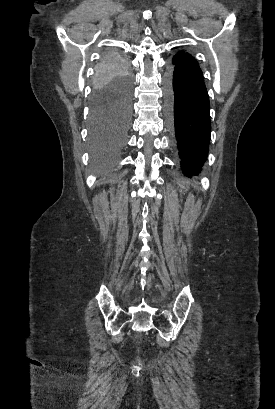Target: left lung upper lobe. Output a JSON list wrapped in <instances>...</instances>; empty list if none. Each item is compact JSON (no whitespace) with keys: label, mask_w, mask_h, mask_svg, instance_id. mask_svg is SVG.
<instances>
[{"label":"left lung upper lobe","mask_w":275,"mask_h":409,"mask_svg":"<svg viewBox=\"0 0 275 409\" xmlns=\"http://www.w3.org/2000/svg\"><path fill=\"white\" fill-rule=\"evenodd\" d=\"M172 64L185 68L188 71L202 74V70L197 62V60L189 53L184 51H179L174 57Z\"/></svg>","instance_id":"5c2ea615"}]
</instances>
